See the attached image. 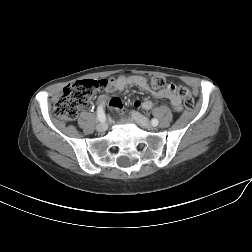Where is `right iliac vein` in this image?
Segmentation results:
<instances>
[{"label":"right iliac vein","mask_w":252,"mask_h":252,"mask_svg":"<svg viewBox=\"0 0 252 252\" xmlns=\"http://www.w3.org/2000/svg\"><path fill=\"white\" fill-rule=\"evenodd\" d=\"M107 129V123L101 124V122L96 126V130L99 132H104Z\"/></svg>","instance_id":"63e3f726"}]
</instances>
